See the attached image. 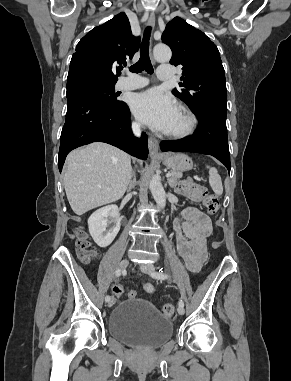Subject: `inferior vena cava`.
I'll return each mask as SVG.
<instances>
[{
  "label": "inferior vena cava",
  "instance_id": "1",
  "mask_svg": "<svg viewBox=\"0 0 291 381\" xmlns=\"http://www.w3.org/2000/svg\"><path fill=\"white\" fill-rule=\"evenodd\" d=\"M132 131L135 136L139 137L141 135V125L138 123L132 124Z\"/></svg>",
  "mask_w": 291,
  "mask_h": 381
}]
</instances>
